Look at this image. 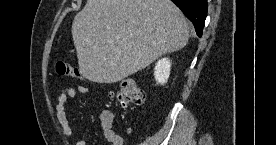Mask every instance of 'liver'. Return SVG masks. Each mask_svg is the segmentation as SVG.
<instances>
[{"label": "liver", "instance_id": "1", "mask_svg": "<svg viewBox=\"0 0 276 145\" xmlns=\"http://www.w3.org/2000/svg\"><path fill=\"white\" fill-rule=\"evenodd\" d=\"M188 29L171 0H87L71 31L82 76L116 83L185 47Z\"/></svg>", "mask_w": 276, "mask_h": 145}]
</instances>
